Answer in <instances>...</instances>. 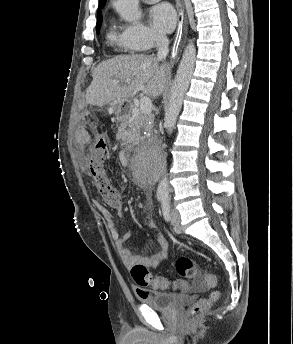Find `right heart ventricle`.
<instances>
[{
	"mask_svg": "<svg viewBox=\"0 0 293 344\" xmlns=\"http://www.w3.org/2000/svg\"><path fill=\"white\" fill-rule=\"evenodd\" d=\"M107 40L117 46L118 48L125 50V51H129L126 46L124 45L121 35L116 31L115 27L113 25H111L107 31L106 34Z\"/></svg>",
	"mask_w": 293,
	"mask_h": 344,
	"instance_id": "e07e8e85",
	"label": "right heart ventricle"
}]
</instances>
